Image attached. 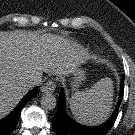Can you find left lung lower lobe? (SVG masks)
I'll return each mask as SVG.
<instances>
[{"label": "left lung lower lobe", "mask_w": 135, "mask_h": 135, "mask_svg": "<svg viewBox=\"0 0 135 135\" xmlns=\"http://www.w3.org/2000/svg\"><path fill=\"white\" fill-rule=\"evenodd\" d=\"M120 97L118 100V104L113 115L109 118L107 122L97 127H88L80 125L69 118L66 113L65 108V95L63 90L59 93L58 103H57V113L52 118L53 129L55 130L57 135H106V133L113 126L117 115L119 106L123 99L124 92V76L121 79L120 83Z\"/></svg>", "instance_id": "obj_1"}]
</instances>
